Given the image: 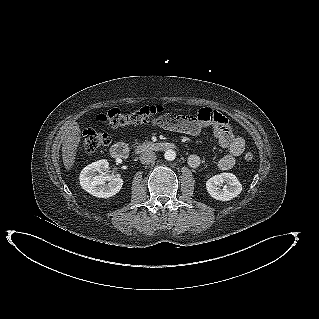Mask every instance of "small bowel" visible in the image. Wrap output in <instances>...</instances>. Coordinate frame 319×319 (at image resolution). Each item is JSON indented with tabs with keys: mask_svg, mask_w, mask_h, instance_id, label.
I'll use <instances>...</instances> for the list:
<instances>
[{
	"mask_svg": "<svg viewBox=\"0 0 319 319\" xmlns=\"http://www.w3.org/2000/svg\"><path fill=\"white\" fill-rule=\"evenodd\" d=\"M155 124L164 129L190 136L199 135L203 129H211L220 146L228 151L218 161L219 169L224 171L233 168L237 157L245 150L244 139L235 133L224 116L210 108L199 110L196 116L168 115L156 120ZM188 164L192 168H197L201 164V158L197 154H191Z\"/></svg>",
	"mask_w": 319,
	"mask_h": 319,
	"instance_id": "1",
	"label": "small bowel"
}]
</instances>
